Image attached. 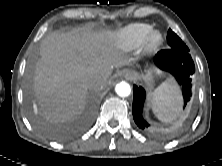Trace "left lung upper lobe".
<instances>
[{
  "mask_svg": "<svg viewBox=\"0 0 222 166\" xmlns=\"http://www.w3.org/2000/svg\"><path fill=\"white\" fill-rule=\"evenodd\" d=\"M167 43L170 48L189 51L186 44L171 29L168 30Z\"/></svg>",
  "mask_w": 222,
  "mask_h": 166,
  "instance_id": "1",
  "label": "left lung upper lobe"
}]
</instances>
